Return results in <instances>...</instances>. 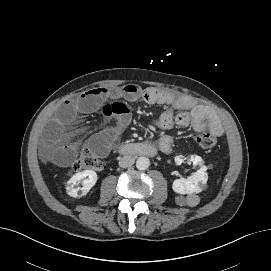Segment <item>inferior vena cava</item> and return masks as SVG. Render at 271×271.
Returning a JSON list of instances; mask_svg holds the SVG:
<instances>
[{"label": "inferior vena cava", "instance_id": "obj_1", "mask_svg": "<svg viewBox=\"0 0 271 271\" xmlns=\"http://www.w3.org/2000/svg\"><path fill=\"white\" fill-rule=\"evenodd\" d=\"M134 162H135V159L132 156H124V157L120 158L118 164L120 167L126 168V167L133 165Z\"/></svg>", "mask_w": 271, "mask_h": 271}]
</instances>
